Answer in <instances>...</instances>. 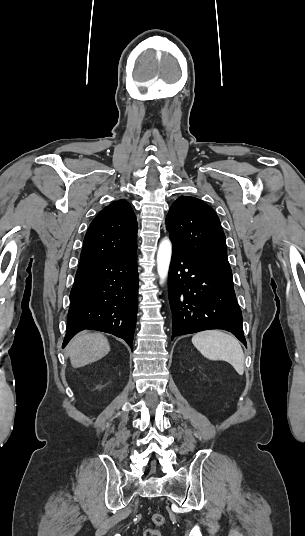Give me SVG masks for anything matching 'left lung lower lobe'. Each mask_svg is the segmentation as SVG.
<instances>
[{
    "instance_id": "1",
    "label": "left lung lower lobe",
    "mask_w": 305,
    "mask_h": 536,
    "mask_svg": "<svg viewBox=\"0 0 305 536\" xmlns=\"http://www.w3.org/2000/svg\"><path fill=\"white\" fill-rule=\"evenodd\" d=\"M168 294L172 339L208 329H223L247 346L230 265L196 258L173 247Z\"/></svg>"
}]
</instances>
